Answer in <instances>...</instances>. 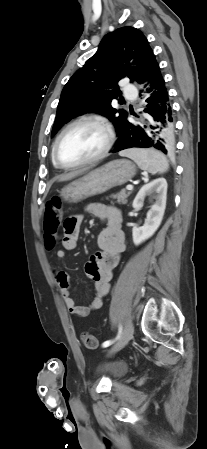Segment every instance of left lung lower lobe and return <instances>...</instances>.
Instances as JSON below:
<instances>
[{"instance_id":"left-lung-lower-lobe-1","label":"left lung lower lobe","mask_w":207,"mask_h":449,"mask_svg":"<svg viewBox=\"0 0 207 449\" xmlns=\"http://www.w3.org/2000/svg\"><path fill=\"white\" fill-rule=\"evenodd\" d=\"M143 82H146L148 103L144 112L148 119L143 126L124 122L118 133V141L113 153L127 148H156L165 154L175 146L174 118L170 97L159 65L155 61Z\"/></svg>"}]
</instances>
